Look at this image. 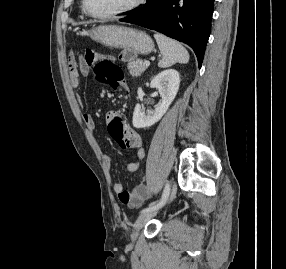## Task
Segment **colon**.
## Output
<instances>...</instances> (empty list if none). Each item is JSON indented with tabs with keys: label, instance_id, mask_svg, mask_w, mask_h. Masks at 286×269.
I'll list each match as a JSON object with an SVG mask.
<instances>
[{
	"label": "colon",
	"instance_id": "colon-1",
	"mask_svg": "<svg viewBox=\"0 0 286 269\" xmlns=\"http://www.w3.org/2000/svg\"><path fill=\"white\" fill-rule=\"evenodd\" d=\"M118 57L115 58L116 62H133L135 59V49H121ZM85 56L89 60H94L96 54L92 50H88ZM99 73L107 72L109 75V83L113 88L117 87L118 81L122 78V70L118 65L113 64L109 60H100L95 63ZM125 121H111L109 127L111 137L117 142L121 149L128 148V141L125 137L122 126H125Z\"/></svg>",
	"mask_w": 286,
	"mask_h": 269
}]
</instances>
